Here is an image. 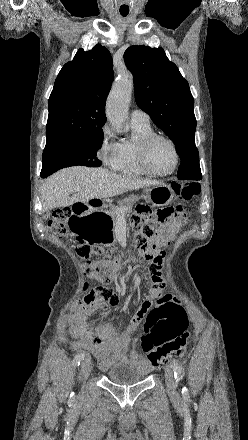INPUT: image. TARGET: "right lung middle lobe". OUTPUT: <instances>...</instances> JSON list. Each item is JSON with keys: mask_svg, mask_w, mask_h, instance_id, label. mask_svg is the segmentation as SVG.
Returning <instances> with one entry per match:
<instances>
[{"mask_svg": "<svg viewBox=\"0 0 248 440\" xmlns=\"http://www.w3.org/2000/svg\"><path fill=\"white\" fill-rule=\"evenodd\" d=\"M103 130L95 129L84 135L47 142L43 152L41 177L45 178L59 169L84 165L99 167L97 158L101 148Z\"/></svg>", "mask_w": 248, "mask_h": 440, "instance_id": "dd1d6c3e", "label": "right lung middle lobe"}]
</instances>
